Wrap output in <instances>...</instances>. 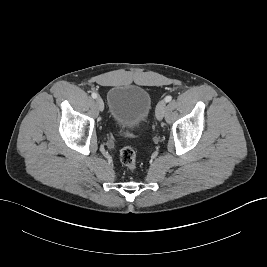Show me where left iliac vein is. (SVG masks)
I'll return each instance as SVG.
<instances>
[{
	"label": "left iliac vein",
	"instance_id": "left-iliac-vein-1",
	"mask_svg": "<svg viewBox=\"0 0 267 267\" xmlns=\"http://www.w3.org/2000/svg\"><path fill=\"white\" fill-rule=\"evenodd\" d=\"M165 110H166V101L165 100H161L156 107L155 110V116L157 120H162V118L164 117L165 114Z\"/></svg>",
	"mask_w": 267,
	"mask_h": 267
}]
</instances>
